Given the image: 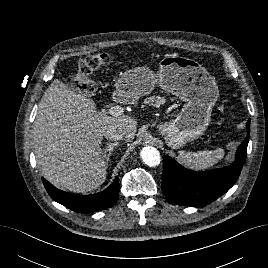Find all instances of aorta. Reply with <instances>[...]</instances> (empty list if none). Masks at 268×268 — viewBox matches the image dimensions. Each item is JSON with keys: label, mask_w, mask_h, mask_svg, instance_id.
Listing matches in <instances>:
<instances>
[{"label": "aorta", "mask_w": 268, "mask_h": 268, "mask_svg": "<svg viewBox=\"0 0 268 268\" xmlns=\"http://www.w3.org/2000/svg\"><path fill=\"white\" fill-rule=\"evenodd\" d=\"M140 155H141L143 162L150 167L159 165L161 161L159 151L155 147H152V146L144 147L141 150Z\"/></svg>", "instance_id": "1"}]
</instances>
